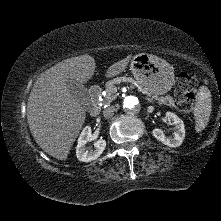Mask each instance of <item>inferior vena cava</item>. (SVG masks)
Instances as JSON below:
<instances>
[{"mask_svg": "<svg viewBox=\"0 0 221 221\" xmlns=\"http://www.w3.org/2000/svg\"><path fill=\"white\" fill-rule=\"evenodd\" d=\"M114 111H115V107L114 106L107 107L106 109L103 110V116L106 119H109V118H111L113 116Z\"/></svg>", "mask_w": 221, "mask_h": 221, "instance_id": "inferior-vena-cava-1", "label": "inferior vena cava"}]
</instances>
